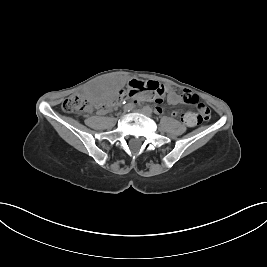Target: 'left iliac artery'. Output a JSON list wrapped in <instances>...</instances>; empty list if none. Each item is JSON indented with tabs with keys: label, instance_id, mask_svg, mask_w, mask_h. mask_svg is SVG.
Instances as JSON below:
<instances>
[{
	"label": "left iliac artery",
	"instance_id": "1",
	"mask_svg": "<svg viewBox=\"0 0 267 267\" xmlns=\"http://www.w3.org/2000/svg\"><path fill=\"white\" fill-rule=\"evenodd\" d=\"M144 108H145L147 111H149L150 113H152V112H153L152 108H151V107H149V106H145Z\"/></svg>",
	"mask_w": 267,
	"mask_h": 267
}]
</instances>
